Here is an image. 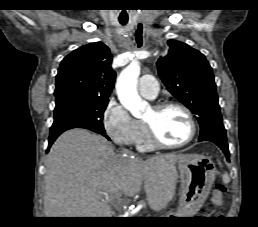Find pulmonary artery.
Returning a JSON list of instances; mask_svg holds the SVG:
<instances>
[{
    "label": "pulmonary artery",
    "mask_w": 258,
    "mask_h": 227,
    "mask_svg": "<svg viewBox=\"0 0 258 227\" xmlns=\"http://www.w3.org/2000/svg\"><path fill=\"white\" fill-rule=\"evenodd\" d=\"M139 93L147 99H155L158 95L157 80L151 75H145L140 78L138 83Z\"/></svg>",
    "instance_id": "obj_1"
}]
</instances>
